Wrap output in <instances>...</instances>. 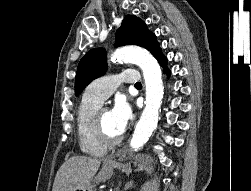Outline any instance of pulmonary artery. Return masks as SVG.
Returning <instances> with one entry per match:
<instances>
[{"label": "pulmonary artery", "instance_id": "e3ab8cb5", "mask_svg": "<svg viewBox=\"0 0 251 191\" xmlns=\"http://www.w3.org/2000/svg\"><path fill=\"white\" fill-rule=\"evenodd\" d=\"M139 76L137 68H126V73L106 75L96 80L86 92L85 96L103 102L123 82H141L142 79Z\"/></svg>", "mask_w": 251, "mask_h": 191}]
</instances>
